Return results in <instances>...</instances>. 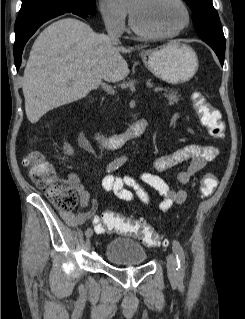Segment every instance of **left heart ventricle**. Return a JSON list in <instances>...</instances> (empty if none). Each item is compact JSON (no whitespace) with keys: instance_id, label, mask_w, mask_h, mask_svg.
I'll use <instances>...</instances> for the list:
<instances>
[{"instance_id":"obj_1","label":"left heart ventricle","mask_w":245,"mask_h":319,"mask_svg":"<svg viewBox=\"0 0 245 319\" xmlns=\"http://www.w3.org/2000/svg\"><path fill=\"white\" fill-rule=\"evenodd\" d=\"M127 5L137 24L149 32H173L185 20L183 10L174 0H129Z\"/></svg>"}]
</instances>
